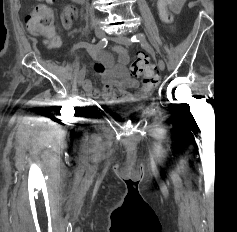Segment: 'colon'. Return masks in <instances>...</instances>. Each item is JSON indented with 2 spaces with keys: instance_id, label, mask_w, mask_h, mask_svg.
Instances as JSON below:
<instances>
[{
  "instance_id": "colon-1",
  "label": "colon",
  "mask_w": 237,
  "mask_h": 232,
  "mask_svg": "<svg viewBox=\"0 0 237 232\" xmlns=\"http://www.w3.org/2000/svg\"><path fill=\"white\" fill-rule=\"evenodd\" d=\"M45 1L47 3H52L55 0ZM171 2V0H157L159 17L167 24L173 22ZM67 15L69 17H74L76 11L74 9H69ZM26 25L28 31L32 35L43 37L50 48H55L59 45V40L54 29L53 13L48 5L39 4L35 6L26 16ZM130 71L133 76L142 78L143 88L146 90L150 91L159 82V76L156 72L155 65L143 54L137 56L136 60L131 65Z\"/></svg>"
}]
</instances>
